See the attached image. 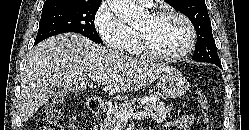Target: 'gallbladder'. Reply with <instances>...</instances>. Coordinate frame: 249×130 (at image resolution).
<instances>
[{
	"label": "gallbladder",
	"mask_w": 249,
	"mask_h": 130,
	"mask_svg": "<svg viewBox=\"0 0 249 130\" xmlns=\"http://www.w3.org/2000/svg\"><path fill=\"white\" fill-rule=\"evenodd\" d=\"M47 94L50 97H60V96H66L68 94V91L62 86L57 85V86L48 88Z\"/></svg>",
	"instance_id": "1"
}]
</instances>
